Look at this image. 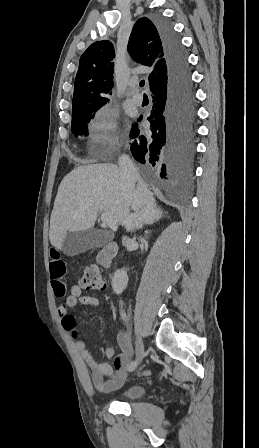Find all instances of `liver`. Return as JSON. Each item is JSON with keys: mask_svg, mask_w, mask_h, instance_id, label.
Segmentation results:
<instances>
[{"mask_svg": "<svg viewBox=\"0 0 259 448\" xmlns=\"http://www.w3.org/2000/svg\"><path fill=\"white\" fill-rule=\"evenodd\" d=\"M154 194L144 180L126 190L120 168L114 164L79 166L63 178L50 218L49 240L62 250L67 232L94 228L99 212L111 214L127 232L162 218ZM130 208L133 214H130Z\"/></svg>", "mask_w": 259, "mask_h": 448, "instance_id": "obj_1", "label": "liver"}]
</instances>
